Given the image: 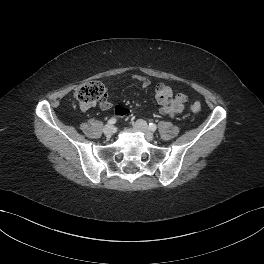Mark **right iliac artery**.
<instances>
[{
	"label": "right iliac artery",
	"mask_w": 264,
	"mask_h": 264,
	"mask_svg": "<svg viewBox=\"0 0 264 264\" xmlns=\"http://www.w3.org/2000/svg\"><path fill=\"white\" fill-rule=\"evenodd\" d=\"M116 123V119L115 118H111L109 121H108V124H114Z\"/></svg>",
	"instance_id": "82829eb1"
}]
</instances>
